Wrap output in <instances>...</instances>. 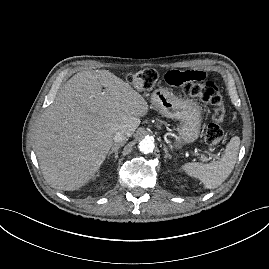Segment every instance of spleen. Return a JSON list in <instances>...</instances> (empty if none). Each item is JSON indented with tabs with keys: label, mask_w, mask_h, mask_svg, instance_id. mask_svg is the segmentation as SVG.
Instances as JSON below:
<instances>
[{
	"label": "spleen",
	"mask_w": 269,
	"mask_h": 269,
	"mask_svg": "<svg viewBox=\"0 0 269 269\" xmlns=\"http://www.w3.org/2000/svg\"><path fill=\"white\" fill-rule=\"evenodd\" d=\"M240 138L234 136L226 145L221 158L208 164L188 162L182 169L191 177L199 179L206 189L219 187L231 174L238 157Z\"/></svg>",
	"instance_id": "1"
}]
</instances>
